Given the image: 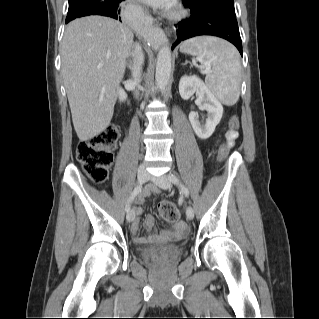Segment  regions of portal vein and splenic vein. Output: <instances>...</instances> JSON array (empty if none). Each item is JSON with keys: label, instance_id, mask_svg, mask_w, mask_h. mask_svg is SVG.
Listing matches in <instances>:
<instances>
[{"label": "portal vein and splenic vein", "instance_id": "1", "mask_svg": "<svg viewBox=\"0 0 319 319\" xmlns=\"http://www.w3.org/2000/svg\"><path fill=\"white\" fill-rule=\"evenodd\" d=\"M209 71H210L209 69H205V70H202L201 72L205 74V73H208Z\"/></svg>", "mask_w": 319, "mask_h": 319}]
</instances>
